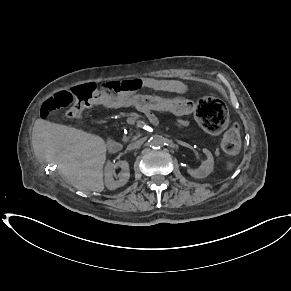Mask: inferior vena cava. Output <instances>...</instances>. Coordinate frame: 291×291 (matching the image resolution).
<instances>
[{
	"label": "inferior vena cava",
	"mask_w": 291,
	"mask_h": 291,
	"mask_svg": "<svg viewBox=\"0 0 291 291\" xmlns=\"http://www.w3.org/2000/svg\"><path fill=\"white\" fill-rule=\"evenodd\" d=\"M142 144H143V140H137V141H135V142L129 144V145L127 146V149H128V150H134V149H137V148L141 147Z\"/></svg>",
	"instance_id": "obj_1"
}]
</instances>
